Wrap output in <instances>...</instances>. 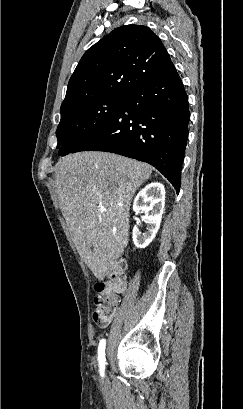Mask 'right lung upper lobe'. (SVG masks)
Wrapping results in <instances>:
<instances>
[{
    "label": "right lung upper lobe",
    "instance_id": "right-lung-upper-lobe-1",
    "mask_svg": "<svg viewBox=\"0 0 243 409\" xmlns=\"http://www.w3.org/2000/svg\"><path fill=\"white\" fill-rule=\"evenodd\" d=\"M176 71L160 38L147 26L114 29L89 48L72 74L61 109L103 97H127Z\"/></svg>",
    "mask_w": 243,
    "mask_h": 409
}]
</instances>
